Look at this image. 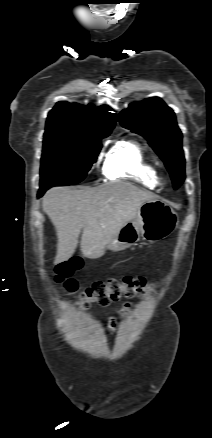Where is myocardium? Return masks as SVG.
Instances as JSON below:
<instances>
[{"instance_id": "1", "label": "myocardium", "mask_w": 212, "mask_h": 438, "mask_svg": "<svg viewBox=\"0 0 212 438\" xmlns=\"http://www.w3.org/2000/svg\"><path fill=\"white\" fill-rule=\"evenodd\" d=\"M154 181L157 185H162L165 182V176L162 173L156 171V173L154 174Z\"/></svg>"}]
</instances>
